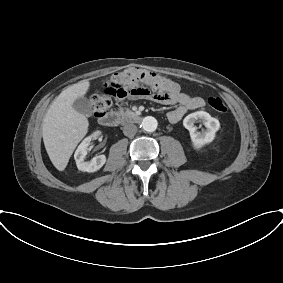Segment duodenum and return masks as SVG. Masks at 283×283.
I'll list each match as a JSON object with an SVG mask.
<instances>
[{"instance_id": "1", "label": "duodenum", "mask_w": 283, "mask_h": 283, "mask_svg": "<svg viewBox=\"0 0 283 283\" xmlns=\"http://www.w3.org/2000/svg\"><path fill=\"white\" fill-rule=\"evenodd\" d=\"M141 120V116L134 112H108L99 117V123L105 127H116L119 124L139 123Z\"/></svg>"}]
</instances>
